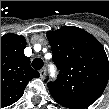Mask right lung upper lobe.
Returning <instances> with one entry per match:
<instances>
[{
    "instance_id": "1",
    "label": "right lung upper lobe",
    "mask_w": 109,
    "mask_h": 109,
    "mask_svg": "<svg viewBox=\"0 0 109 109\" xmlns=\"http://www.w3.org/2000/svg\"><path fill=\"white\" fill-rule=\"evenodd\" d=\"M25 47L23 36L6 34L1 37V108L18 101L28 82L40 76L24 55Z\"/></svg>"
}]
</instances>
